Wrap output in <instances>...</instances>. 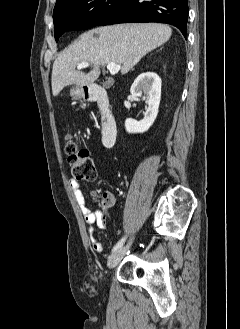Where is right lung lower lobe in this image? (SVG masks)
I'll return each instance as SVG.
<instances>
[{
    "instance_id": "1",
    "label": "right lung lower lobe",
    "mask_w": 240,
    "mask_h": 329,
    "mask_svg": "<svg viewBox=\"0 0 240 329\" xmlns=\"http://www.w3.org/2000/svg\"><path fill=\"white\" fill-rule=\"evenodd\" d=\"M188 0H126L101 25L160 22L174 25L186 37Z\"/></svg>"
}]
</instances>
